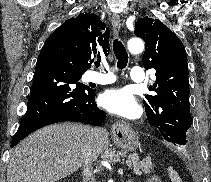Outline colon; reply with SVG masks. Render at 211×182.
I'll return each instance as SVG.
<instances>
[{"instance_id":"1","label":"colon","mask_w":211,"mask_h":182,"mask_svg":"<svg viewBox=\"0 0 211 182\" xmlns=\"http://www.w3.org/2000/svg\"><path fill=\"white\" fill-rule=\"evenodd\" d=\"M148 182H162L161 179L156 175H151L148 177Z\"/></svg>"}]
</instances>
